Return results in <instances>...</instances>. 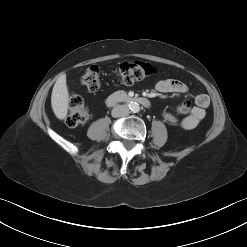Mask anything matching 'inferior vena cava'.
Instances as JSON below:
<instances>
[{"instance_id":"602c4592","label":"inferior vena cava","mask_w":247,"mask_h":247,"mask_svg":"<svg viewBox=\"0 0 247 247\" xmlns=\"http://www.w3.org/2000/svg\"><path fill=\"white\" fill-rule=\"evenodd\" d=\"M113 116L115 117H124V116H128L130 111L128 109V107L124 106V105H117L113 111Z\"/></svg>"}]
</instances>
